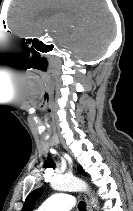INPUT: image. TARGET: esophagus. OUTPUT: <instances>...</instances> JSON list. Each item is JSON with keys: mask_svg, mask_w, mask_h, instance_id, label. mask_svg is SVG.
<instances>
[{"mask_svg": "<svg viewBox=\"0 0 133 211\" xmlns=\"http://www.w3.org/2000/svg\"><path fill=\"white\" fill-rule=\"evenodd\" d=\"M85 201H86V210L87 211H92V208H91V206L89 204V201H88V199L86 197H85Z\"/></svg>", "mask_w": 133, "mask_h": 211, "instance_id": "obj_1", "label": "esophagus"}]
</instances>
